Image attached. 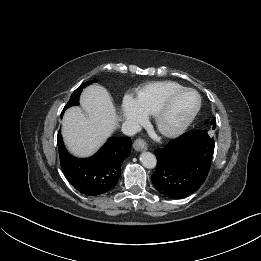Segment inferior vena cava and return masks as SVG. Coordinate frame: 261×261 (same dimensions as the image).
<instances>
[{
	"label": "inferior vena cava",
	"instance_id": "1",
	"mask_svg": "<svg viewBox=\"0 0 261 261\" xmlns=\"http://www.w3.org/2000/svg\"><path fill=\"white\" fill-rule=\"evenodd\" d=\"M141 130V126L133 121H125L122 124V132L126 135L133 136Z\"/></svg>",
	"mask_w": 261,
	"mask_h": 261
}]
</instances>
